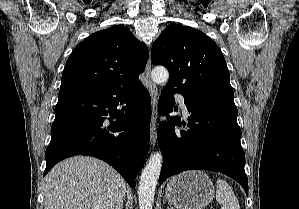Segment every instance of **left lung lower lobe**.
Wrapping results in <instances>:
<instances>
[{"label":"left lung lower lobe","instance_id":"left-lung-lower-lobe-1","mask_svg":"<svg viewBox=\"0 0 299 209\" xmlns=\"http://www.w3.org/2000/svg\"><path fill=\"white\" fill-rule=\"evenodd\" d=\"M175 92L183 95L191 116L185 129L175 128L182 126L177 116H168L167 122L159 124L157 138L164 160L159 183L185 170L203 169L230 176L248 195L245 154L240 143L241 129L233 95L183 92L166 85L159 98L160 115L172 112Z\"/></svg>","mask_w":299,"mask_h":209}]
</instances>
